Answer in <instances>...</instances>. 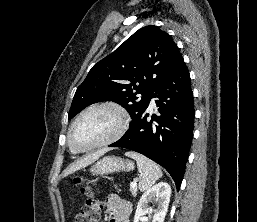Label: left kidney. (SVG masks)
Masks as SVG:
<instances>
[{"label": "left kidney", "instance_id": "left-kidney-1", "mask_svg": "<svg viewBox=\"0 0 257 222\" xmlns=\"http://www.w3.org/2000/svg\"><path fill=\"white\" fill-rule=\"evenodd\" d=\"M170 196L171 187L166 182H160L148 189L138 202L134 222H139L144 215L151 211V207L149 206L151 201L157 204L152 222H164L168 211Z\"/></svg>", "mask_w": 257, "mask_h": 222}]
</instances>
